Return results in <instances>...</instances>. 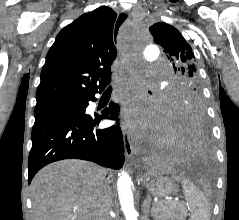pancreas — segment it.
I'll return each mask as SVG.
<instances>
[{"label":"pancreas","mask_w":239,"mask_h":220,"mask_svg":"<svg viewBox=\"0 0 239 220\" xmlns=\"http://www.w3.org/2000/svg\"><path fill=\"white\" fill-rule=\"evenodd\" d=\"M151 216L154 220H185L187 211L183 205L157 202L153 204Z\"/></svg>","instance_id":"pancreas-1"}]
</instances>
